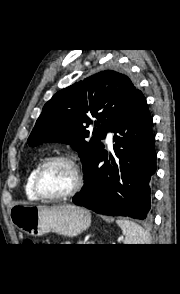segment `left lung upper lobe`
Returning <instances> with one entry per match:
<instances>
[{"instance_id":"1","label":"left lung upper lobe","mask_w":180,"mask_h":294,"mask_svg":"<svg viewBox=\"0 0 180 294\" xmlns=\"http://www.w3.org/2000/svg\"><path fill=\"white\" fill-rule=\"evenodd\" d=\"M138 90L132 80L105 70L57 92L43 107L29 138L36 146L45 142L70 144L79 152L84 177L116 120L126 111ZM95 117L92 134L86 129Z\"/></svg>"}]
</instances>
